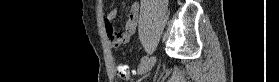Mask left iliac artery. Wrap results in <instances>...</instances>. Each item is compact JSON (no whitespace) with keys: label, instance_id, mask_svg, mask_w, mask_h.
Here are the masks:
<instances>
[{"label":"left iliac artery","instance_id":"44dca946","mask_svg":"<svg viewBox=\"0 0 279 82\" xmlns=\"http://www.w3.org/2000/svg\"><path fill=\"white\" fill-rule=\"evenodd\" d=\"M146 60H148V57H147V56H144V57H142L141 62H144V61H146Z\"/></svg>","mask_w":279,"mask_h":82}]
</instances>
